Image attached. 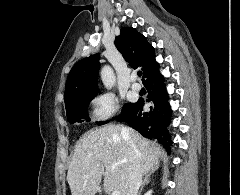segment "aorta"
Here are the masks:
<instances>
[{
  "instance_id": "obj_1",
  "label": "aorta",
  "mask_w": 240,
  "mask_h": 195,
  "mask_svg": "<svg viewBox=\"0 0 240 195\" xmlns=\"http://www.w3.org/2000/svg\"><path fill=\"white\" fill-rule=\"evenodd\" d=\"M100 76L103 82V86H105L107 90H112L116 84V76L114 74V70H112L110 66H104L100 72Z\"/></svg>"
}]
</instances>
